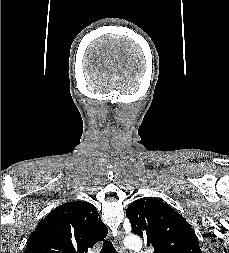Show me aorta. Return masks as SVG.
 I'll list each match as a JSON object with an SVG mask.
<instances>
[{"instance_id": "aorta-1", "label": "aorta", "mask_w": 229, "mask_h": 253, "mask_svg": "<svg viewBox=\"0 0 229 253\" xmlns=\"http://www.w3.org/2000/svg\"><path fill=\"white\" fill-rule=\"evenodd\" d=\"M126 246L129 249L139 251L142 248V241L137 236H131L126 240Z\"/></svg>"}]
</instances>
